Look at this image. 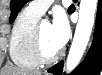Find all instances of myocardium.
<instances>
[{
    "label": "myocardium",
    "instance_id": "obj_1",
    "mask_svg": "<svg viewBox=\"0 0 102 75\" xmlns=\"http://www.w3.org/2000/svg\"><path fill=\"white\" fill-rule=\"evenodd\" d=\"M41 24L37 23L33 37H32V52L35 60L38 62V64H49L57 60L60 55L62 54V49H59L55 54L48 56L45 54V51L42 48L41 44Z\"/></svg>",
    "mask_w": 102,
    "mask_h": 75
}]
</instances>
